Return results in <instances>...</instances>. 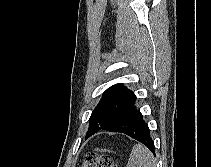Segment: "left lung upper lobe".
<instances>
[{
  "label": "left lung upper lobe",
  "instance_id": "obj_1",
  "mask_svg": "<svg viewBox=\"0 0 211 167\" xmlns=\"http://www.w3.org/2000/svg\"><path fill=\"white\" fill-rule=\"evenodd\" d=\"M135 99V94L123 84H115L108 88L91 114L88 132L111 122Z\"/></svg>",
  "mask_w": 211,
  "mask_h": 167
}]
</instances>
